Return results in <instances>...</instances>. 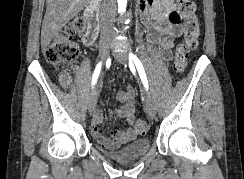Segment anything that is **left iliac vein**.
Here are the masks:
<instances>
[{
    "instance_id": "obj_1",
    "label": "left iliac vein",
    "mask_w": 244,
    "mask_h": 179,
    "mask_svg": "<svg viewBox=\"0 0 244 179\" xmlns=\"http://www.w3.org/2000/svg\"><path fill=\"white\" fill-rule=\"evenodd\" d=\"M114 56H115L116 60L123 65L127 64L129 61L128 54L124 51L117 52V53H115ZM145 108H146L148 116L151 119H154L156 116L157 110H156L154 100L150 94H147V99L145 102Z\"/></svg>"
}]
</instances>
